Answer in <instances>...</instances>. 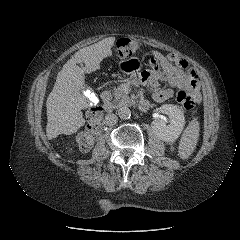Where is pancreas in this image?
Instances as JSON below:
<instances>
[{"label":"pancreas","mask_w":240,"mask_h":240,"mask_svg":"<svg viewBox=\"0 0 240 240\" xmlns=\"http://www.w3.org/2000/svg\"><path fill=\"white\" fill-rule=\"evenodd\" d=\"M105 103H110L114 107H120L123 105H128L130 98L123 93L120 87L114 89L112 95L104 100Z\"/></svg>","instance_id":"1"}]
</instances>
